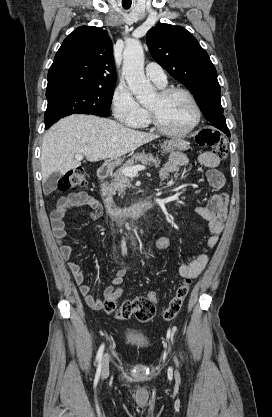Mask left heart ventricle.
<instances>
[{"label": "left heart ventricle", "mask_w": 272, "mask_h": 417, "mask_svg": "<svg viewBox=\"0 0 272 417\" xmlns=\"http://www.w3.org/2000/svg\"><path fill=\"white\" fill-rule=\"evenodd\" d=\"M149 109L157 114L165 127L174 131L188 128L195 118L193 105L182 94H175L167 99H162L157 95Z\"/></svg>", "instance_id": "1"}]
</instances>
